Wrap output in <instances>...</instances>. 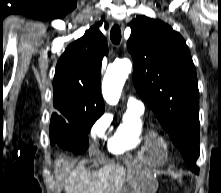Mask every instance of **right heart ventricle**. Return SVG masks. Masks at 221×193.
Segmentation results:
<instances>
[{
    "label": "right heart ventricle",
    "instance_id": "right-heart-ventricle-1",
    "mask_svg": "<svg viewBox=\"0 0 221 193\" xmlns=\"http://www.w3.org/2000/svg\"><path fill=\"white\" fill-rule=\"evenodd\" d=\"M144 137L145 122L142 112L127 109L108 142V150L118 155L136 151L142 145Z\"/></svg>",
    "mask_w": 221,
    "mask_h": 193
}]
</instances>
